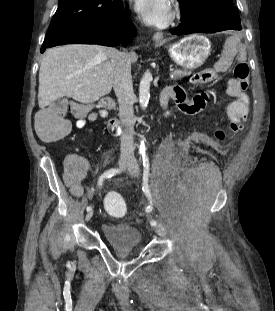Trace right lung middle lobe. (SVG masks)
Returning <instances> with one entry per match:
<instances>
[{
  "label": "right lung middle lobe",
  "instance_id": "right-lung-middle-lobe-1",
  "mask_svg": "<svg viewBox=\"0 0 275 311\" xmlns=\"http://www.w3.org/2000/svg\"><path fill=\"white\" fill-rule=\"evenodd\" d=\"M122 7L121 1L113 0H59V6L49 30L64 23L107 15Z\"/></svg>",
  "mask_w": 275,
  "mask_h": 311
}]
</instances>
